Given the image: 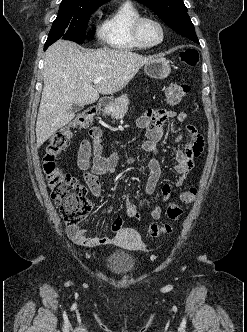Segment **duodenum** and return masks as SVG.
<instances>
[{"label":"duodenum","instance_id":"1","mask_svg":"<svg viewBox=\"0 0 247 332\" xmlns=\"http://www.w3.org/2000/svg\"><path fill=\"white\" fill-rule=\"evenodd\" d=\"M110 105V102L106 99H101L98 101L97 105H96V109L99 111V112H103L105 110L108 109Z\"/></svg>","mask_w":247,"mask_h":332}]
</instances>
